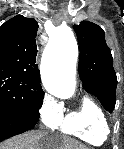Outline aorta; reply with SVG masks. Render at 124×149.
<instances>
[{"label":"aorta","mask_w":124,"mask_h":149,"mask_svg":"<svg viewBox=\"0 0 124 149\" xmlns=\"http://www.w3.org/2000/svg\"><path fill=\"white\" fill-rule=\"evenodd\" d=\"M51 52L56 56L55 62H51ZM77 56V42L71 28L59 26L56 39L45 52L41 65L42 83L48 93L62 99L74 94Z\"/></svg>","instance_id":"1"}]
</instances>
